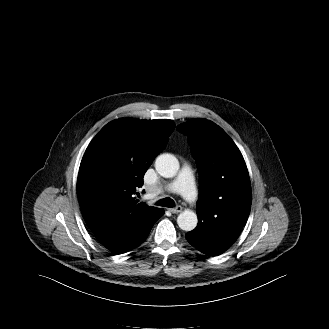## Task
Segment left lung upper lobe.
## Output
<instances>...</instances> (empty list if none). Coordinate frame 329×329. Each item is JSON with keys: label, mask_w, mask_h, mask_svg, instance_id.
Here are the masks:
<instances>
[{"label": "left lung upper lobe", "mask_w": 329, "mask_h": 329, "mask_svg": "<svg viewBox=\"0 0 329 329\" xmlns=\"http://www.w3.org/2000/svg\"><path fill=\"white\" fill-rule=\"evenodd\" d=\"M188 135L199 171L197 229L219 234L228 223L244 226L251 209V186L243 156L225 131L205 119L177 126Z\"/></svg>", "instance_id": "obj_1"}]
</instances>
